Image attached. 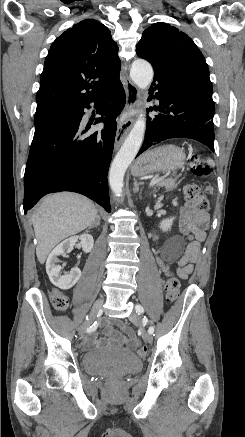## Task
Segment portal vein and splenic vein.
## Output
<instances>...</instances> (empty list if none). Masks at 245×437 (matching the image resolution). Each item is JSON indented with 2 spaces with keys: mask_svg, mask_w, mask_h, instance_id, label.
Wrapping results in <instances>:
<instances>
[{
  "mask_svg": "<svg viewBox=\"0 0 245 437\" xmlns=\"http://www.w3.org/2000/svg\"><path fill=\"white\" fill-rule=\"evenodd\" d=\"M165 176H163V177H155L151 182H150V187H152V186H154L155 184H157L159 181H161L163 178H164Z\"/></svg>",
  "mask_w": 245,
  "mask_h": 437,
  "instance_id": "portal-vein-and-splenic-vein-1",
  "label": "portal vein and splenic vein"
}]
</instances>
